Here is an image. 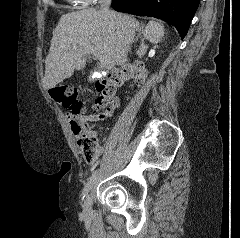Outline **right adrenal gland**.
I'll return each mask as SVG.
<instances>
[{
    "mask_svg": "<svg viewBox=\"0 0 240 238\" xmlns=\"http://www.w3.org/2000/svg\"><path fill=\"white\" fill-rule=\"evenodd\" d=\"M142 29H143V25H141V27H139L138 29H137V31H138V36L136 37V42L138 41V38L142 35Z\"/></svg>",
    "mask_w": 240,
    "mask_h": 238,
    "instance_id": "right-adrenal-gland-1",
    "label": "right adrenal gland"
}]
</instances>
